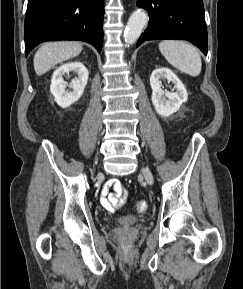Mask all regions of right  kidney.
<instances>
[{"instance_id":"obj_1","label":"right kidney","mask_w":243,"mask_h":289,"mask_svg":"<svg viewBox=\"0 0 243 289\" xmlns=\"http://www.w3.org/2000/svg\"><path fill=\"white\" fill-rule=\"evenodd\" d=\"M69 72L77 73L78 78L73 79L68 85L63 80V75ZM88 74L86 67L79 61L65 63L54 71L50 91L60 107H69L79 100L87 85ZM67 85L72 88V91L65 90Z\"/></svg>"}]
</instances>
